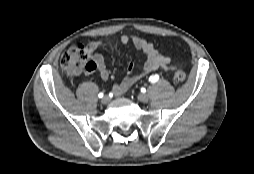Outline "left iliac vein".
I'll return each instance as SVG.
<instances>
[{
    "instance_id": "left-iliac-vein-1",
    "label": "left iliac vein",
    "mask_w": 254,
    "mask_h": 174,
    "mask_svg": "<svg viewBox=\"0 0 254 174\" xmlns=\"http://www.w3.org/2000/svg\"><path fill=\"white\" fill-rule=\"evenodd\" d=\"M137 98L142 103H146L149 100V96L147 94H144V93L139 94Z\"/></svg>"
}]
</instances>
